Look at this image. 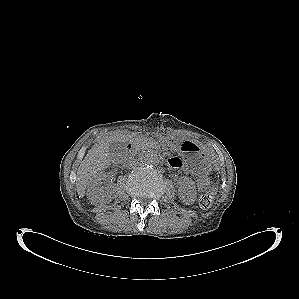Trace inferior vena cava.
Listing matches in <instances>:
<instances>
[{
  "instance_id": "obj_1",
  "label": "inferior vena cava",
  "mask_w": 299,
  "mask_h": 299,
  "mask_svg": "<svg viewBox=\"0 0 299 299\" xmlns=\"http://www.w3.org/2000/svg\"><path fill=\"white\" fill-rule=\"evenodd\" d=\"M138 165V162H136L135 160L133 161V160H131V161H129V163H128V167H135V166H137Z\"/></svg>"
}]
</instances>
